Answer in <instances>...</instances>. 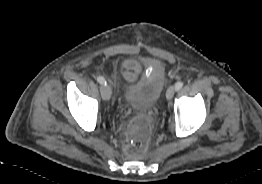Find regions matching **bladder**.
Masks as SVG:
<instances>
[{"label":"bladder","mask_w":262,"mask_h":184,"mask_svg":"<svg viewBox=\"0 0 262 184\" xmlns=\"http://www.w3.org/2000/svg\"><path fill=\"white\" fill-rule=\"evenodd\" d=\"M166 86L164 73L142 76L136 83L129 85L124 93L126 105L135 111L152 109Z\"/></svg>","instance_id":"31cf9c89"}]
</instances>
